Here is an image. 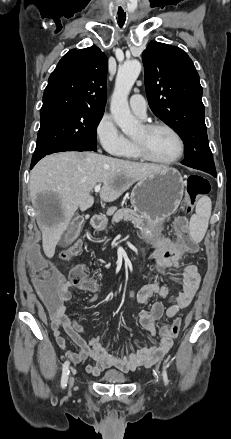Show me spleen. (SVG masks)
Segmentation results:
<instances>
[{
	"label": "spleen",
	"mask_w": 231,
	"mask_h": 439,
	"mask_svg": "<svg viewBox=\"0 0 231 439\" xmlns=\"http://www.w3.org/2000/svg\"><path fill=\"white\" fill-rule=\"evenodd\" d=\"M212 204L209 197L204 196L199 199L196 205V214L190 219V235L195 242H200L208 228L211 216Z\"/></svg>",
	"instance_id": "obj_1"
}]
</instances>
